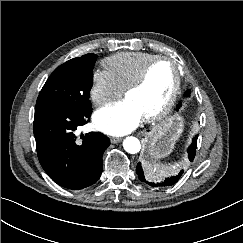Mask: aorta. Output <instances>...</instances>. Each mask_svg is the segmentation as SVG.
<instances>
[{
	"label": "aorta",
	"instance_id": "obj_1",
	"mask_svg": "<svg viewBox=\"0 0 243 243\" xmlns=\"http://www.w3.org/2000/svg\"><path fill=\"white\" fill-rule=\"evenodd\" d=\"M123 147L126 152L136 154L140 151L141 144L136 137H127L123 142Z\"/></svg>",
	"mask_w": 243,
	"mask_h": 243
}]
</instances>
